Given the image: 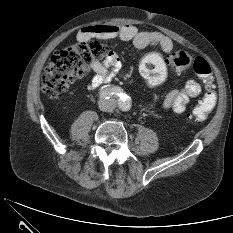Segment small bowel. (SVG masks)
<instances>
[{"label": "small bowel", "instance_id": "1", "mask_svg": "<svg viewBox=\"0 0 233 233\" xmlns=\"http://www.w3.org/2000/svg\"><path fill=\"white\" fill-rule=\"evenodd\" d=\"M91 37L101 39L118 38L122 41L132 42L138 49L158 47L164 54H170L173 50V42L166 35L159 32L142 31L134 25H96L82 28L78 33L79 40H87ZM120 67L118 56L110 52L104 61L95 60L91 63L94 76L88 84L92 90H104L108 87L113 76ZM201 93V86L195 80H188L179 89L171 90L163 100V107L175 113H183L189 101Z\"/></svg>", "mask_w": 233, "mask_h": 233}]
</instances>
